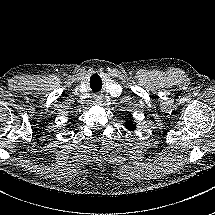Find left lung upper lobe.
Wrapping results in <instances>:
<instances>
[{
  "instance_id": "left-lung-upper-lobe-1",
  "label": "left lung upper lobe",
  "mask_w": 215,
  "mask_h": 215,
  "mask_svg": "<svg viewBox=\"0 0 215 215\" xmlns=\"http://www.w3.org/2000/svg\"><path fill=\"white\" fill-rule=\"evenodd\" d=\"M125 127L129 130V131H133L136 128V125L133 123L132 120H127L125 123Z\"/></svg>"
}]
</instances>
